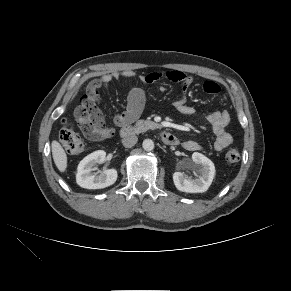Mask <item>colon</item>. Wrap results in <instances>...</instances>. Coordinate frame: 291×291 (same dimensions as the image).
<instances>
[{
    "mask_svg": "<svg viewBox=\"0 0 291 291\" xmlns=\"http://www.w3.org/2000/svg\"><path fill=\"white\" fill-rule=\"evenodd\" d=\"M98 89H90L81 98V105L76 111L75 120H66L59 132V139L64 149L70 154L81 153L85 149V143L80 135V131L89 134L94 125L100 119ZM240 159V154L236 149H230L225 154V160L229 164H234Z\"/></svg>",
    "mask_w": 291,
    "mask_h": 291,
    "instance_id": "1",
    "label": "colon"
}]
</instances>
